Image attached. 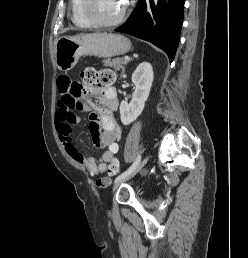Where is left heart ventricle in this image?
<instances>
[{
  "label": "left heart ventricle",
  "mask_w": 248,
  "mask_h": 258,
  "mask_svg": "<svg viewBox=\"0 0 248 258\" xmlns=\"http://www.w3.org/2000/svg\"><path fill=\"white\" fill-rule=\"evenodd\" d=\"M123 7L124 2L122 0H92L90 11L96 19L110 21L120 15Z\"/></svg>",
  "instance_id": "b2bd125f"
}]
</instances>
